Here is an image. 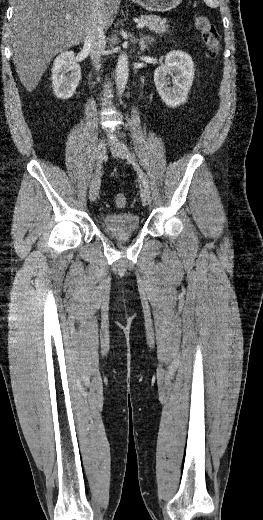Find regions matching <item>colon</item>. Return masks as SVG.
<instances>
[{
  "mask_svg": "<svg viewBox=\"0 0 263 520\" xmlns=\"http://www.w3.org/2000/svg\"><path fill=\"white\" fill-rule=\"evenodd\" d=\"M194 25L201 34L202 42L206 50V56L212 60L216 59L221 50L220 35L217 27L206 15L203 14H196L194 16ZM125 204V196L121 193L117 194L115 197V205L118 208H122Z\"/></svg>",
  "mask_w": 263,
  "mask_h": 520,
  "instance_id": "colon-1",
  "label": "colon"
}]
</instances>
